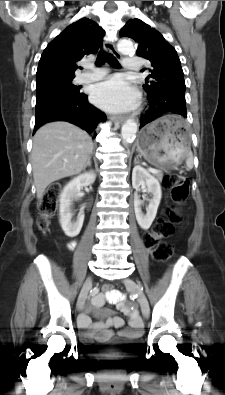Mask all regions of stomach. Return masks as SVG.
Segmentation results:
<instances>
[{"label":"stomach","mask_w":225,"mask_h":395,"mask_svg":"<svg viewBox=\"0 0 225 395\" xmlns=\"http://www.w3.org/2000/svg\"><path fill=\"white\" fill-rule=\"evenodd\" d=\"M187 126L175 114H166L147 125L137 141V150L152 165L180 164L188 155Z\"/></svg>","instance_id":"1"}]
</instances>
